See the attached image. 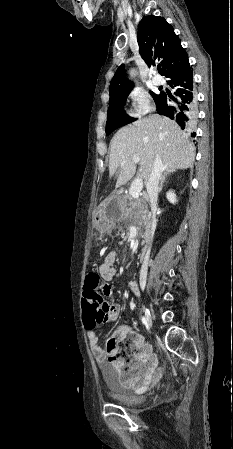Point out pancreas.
<instances>
[{"instance_id": "cf45deb5", "label": "pancreas", "mask_w": 233, "mask_h": 449, "mask_svg": "<svg viewBox=\"0 0 233 449\" xmlns=\"http://www.w3.org/2000/svg\"><path fill=\"white\" fill-rule=\"evenodd\" d=\"M123 216L139 227L147 226L150 222V214L145 197L133 198L130 194L123 197Z\"/></svg>"}]
</instances>
